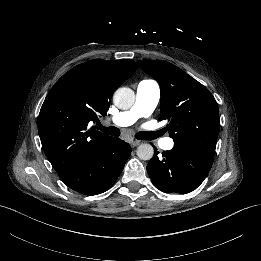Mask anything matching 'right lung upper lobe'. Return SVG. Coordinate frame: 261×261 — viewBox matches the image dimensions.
<instances>
[{"label":"right lung upper lobe","instance_id":"right-lung-upper-lobe-1","mask_svg":"<svg viewBox=\"0 0 261 261\" xmlns=\"http://www.w3.org/2000/svg\"><path fill=\"white\" fill-rule=\"evenodd\" d=\"M138 68L129 59L91 60L64 74L40 110L42 148L62 177L96 155L110 139L89 126L109 109L114 91Z\"/></svg>","mask_w":261,"mask_h":261}]
</instances>
